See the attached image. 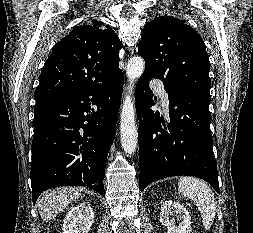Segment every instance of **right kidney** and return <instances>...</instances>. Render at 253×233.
Returning a JSON list of instances; mask_svg holds the SVG:
<instances>
[{
	"label": "right kidney",
	"instance_id": "ca27d5eb",
	"mask_svg": "<svg viewBox=\"0 0 253 233\" xmlns=\"http://www.w3.org/2000/svg\"><path fill=\"white\" fill-rule=\"evenodd\" d=\"M94 221V212L88 202L73 207L65 216L63 233H88Z\"/></svg>",
	"mask_w": 253,
	"mask_h": 233
}]
</instances>
